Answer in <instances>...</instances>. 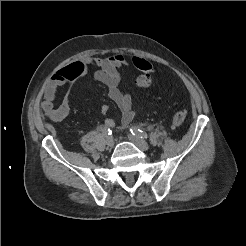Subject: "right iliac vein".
Returning a JSON list of instances; mask_svg holds the SVG:
<instances>
[{
	"label": "right iliac vein",
	"instance_id": "right-iliac-vein-1",
	"mask_svg": "<svg viewBox=\"0 0 246 246\" xmlns=\"http://www.w3.org/2000/svg\"><path fill=\"white\" fill-rule=\"evenodd\" d=\"M106 144H107V146H109V147H113L114 144H115L114 138H113V137H107V139H106Z\"/></svg>",
	"mask_w": 246,
	"mask_h": 246
}]
</instances>
